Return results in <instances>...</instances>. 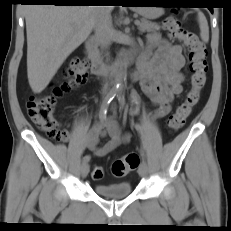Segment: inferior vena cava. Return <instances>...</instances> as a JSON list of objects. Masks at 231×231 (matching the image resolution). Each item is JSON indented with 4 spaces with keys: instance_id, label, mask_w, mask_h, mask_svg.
Instances as JSON below:
<instances>
[{
    "instance_id": "obj_1",
    "label": "inferior vena cava",
    "mask_w": 231,
    "mask_h": 231,
    "mask_svg": "<svg viewBox=\"0 0 231 231\" xmlns=\"http://www.w3.org/2000/svg\"><path fill=\"white\" fill-rule=\"evenodd\" d=\"M111 29L112 18L110 6H96L94 15V31L95 38L101 48H107L111 44ZM105 88H107V85H105Z\"/></svg>"
}]
</instances>
